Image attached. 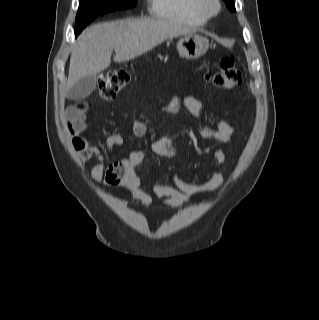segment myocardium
<instances>
[{
    "instance_id": "f54148a6",
    "label": "myocardium",
    "mask_w": 319,
    "mask_h": 320,
    "mask_svg": "<svg viewBox=\"0 0 319 320\" xmlns=\"http://www.w3.org/2000/svg\"><path fill=\"white\" fill-rule=\"evenodd\" d=\"M199 11L207 18H213L221 11L220 0H197Z\"/></svg>"
}]
</instances>
